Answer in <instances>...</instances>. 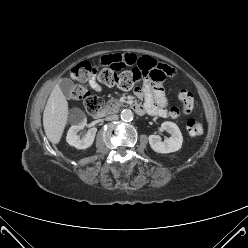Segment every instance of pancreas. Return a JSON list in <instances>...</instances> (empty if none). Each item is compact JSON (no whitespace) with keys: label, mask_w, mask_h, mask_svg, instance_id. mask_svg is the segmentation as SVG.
I'll return each mask as SVG.
<instances>
[{"label":"pancreas","mask_w":248,"mask_h":248,"mask_svg":"<svg viewBox=\"0 0 248 248\" xmlns=\"http://www.w3.org/2000/svg\"><path fill=\"white\" fill-rule=\"evenodd\" d=\"M123 104L118 100H110L105 106V109L110 112H117Z\"/></svg>","instance_id":"cf45deb5"}]
</instances>
